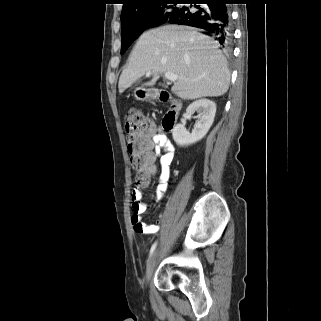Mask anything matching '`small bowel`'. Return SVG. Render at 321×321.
Instances as JSON below:
<instances>
[{"mask_svg": "<svg viewBox=\"0 0 321 321\" xmlns=\"http://www.w3.org/2000/svg\"><path fill=\"white\" fill-rule=\"evenodd\" d=\"M149 145L151 173L155 171L154 163L156 159L159 162V184L156 190V198L161 200L169 187L170 166L174 158L175 147L164 133L156 132L153 126L149 137ZM149 182L150 176L142 180L132 193L133 214L131 216V224L133 229L141 234H154L159 230L158 224L148 225L141 220V215L147 209V205L143 201L141 188L148 186Z\"/></svg>", "mask_w": 321, "mask_h": 321, "instance_id": "c3829d8e", "label": "small bowel"}]
</instances>
